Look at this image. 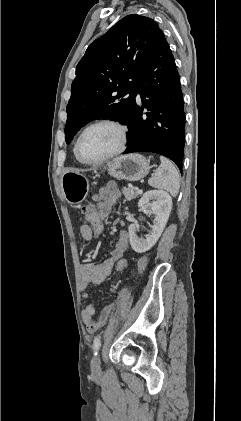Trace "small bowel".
Listing matches in <instances>:
<instances>
[{"label": "small bowel", "mask_w": 241, "mask_h": 421, "mask_svg": "<svg viewBox=\"0 0 241 421\" xmlns=\"http://www.w3.org/2000/svg\"><path fill=\"white\" fill-rule=\"evenodd\" d=\"M120 197L118 188L114 185H109L100 190L95 196L96 212L101 219H105L112 211L113 206ZM80 235L85 241L91 238V229L87 224L80 227ZM129 246V235L126 231H121L118 234L114 248L111 250L109 256L101 262L84 263L80 269V290L84 299L88 298L87 287L89 284H100L111 273L114 264L121 259ZM112 310V305L105 307L98 318H94L95 307L92 303H87L82 312V320L89 333L95 332L100 328L109 318Z\"/></svg>", "instance_id": "c3829d8e"}]
</instances>
